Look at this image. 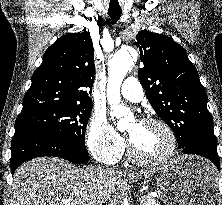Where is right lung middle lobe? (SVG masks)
I'll return each mask as SVG.
<instances>
[{"mask_svg": "<svg viewBox=\"0 0 222 205\" xmlns=\"http://www.w3.org/2000/svg\"><path fill=\"white\" fill-rule=\"evenodd\" d=\"M92 105H52L21 112L15 131L36 130L85 147V130Z\"/></svg>", "mask_w": 222, "mask_h": 205, "instance_id": "obj_1", "label": "right lung middle lobe"}]
</instances>
